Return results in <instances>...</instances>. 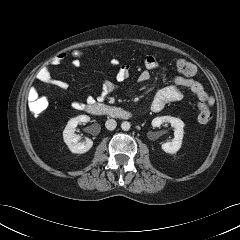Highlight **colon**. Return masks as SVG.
I'll list each match as a JSON object with an SVG mask.
<instances>
[{"label": "colon", "mask_w": 240, "mask_h": 240, "mask_svg": "<svg viewBox=\"0 0 240 240\" xmlns=\"http://www.w3.org/2000/svg\"><path fill=\"white\" fill-rule=\"evenodd\" d=\"M64 56L74 67H80L85 58V52L82 48H73L64 53ZM177 70L187 76H192L196 69L195 66L185 60L181 59L176 64ZM48 106V102L45 98H37L29 101L30 111L34 115H39L45 111ZM198 122L202 125L208 124L212 119V113L209 106L206 103L200 102L198 104Z\"/></svg>", "instance_id": "obj_1"}]
</instances>
